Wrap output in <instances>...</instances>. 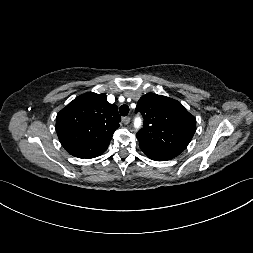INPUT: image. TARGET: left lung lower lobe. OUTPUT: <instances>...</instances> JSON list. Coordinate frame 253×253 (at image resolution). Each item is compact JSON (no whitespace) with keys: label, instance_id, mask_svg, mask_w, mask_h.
Listing matches in <instances>:
<instances>
[{"label":"left lung lower lobe","instance_id":"left-lung-lower-lobe-1","mask_svg":"<svg viewBox=\"0 0 253 253\" xmlns=\"http://www.w3.org/2000/svg\"><path fill=\"white\" fill-rule=\"evenodd\" d=\"M142 151L152 160L156 161H165L174 158L175 156L168 155L159 151L154 150H145L142 149Z\"/></svg>","mask_w":253,"mask_h":253}]
</instances>
